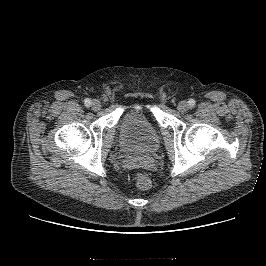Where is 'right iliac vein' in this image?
Segmentation results:
<instances>
[{
  "mask_svg": "<svg viewBox=\"0 0 266 266\" xmlns=\"http://www.w3.org/2000/svg\"><path fill=\"white\" fill-rule=\"evenodd\" d=\"M90 105L91 108L96 111L101 108V103L98 100H92Z\"/></svg>",
  "mask_w": 266,
  "mask_h": 266,
  "instance_id": "1",
  "label": "right iliac vein"
}]
</instances>
